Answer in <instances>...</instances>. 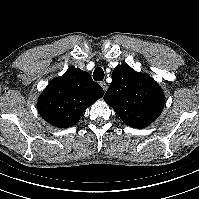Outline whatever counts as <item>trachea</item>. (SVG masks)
<instances>
[{
  "label": "trachea",
  "instance_id": "trachea-1",
  "mask_svg": "<svg viewBox=\"0 0 199 199\" xmlns=\"http://www.w3.org/2000/svg\"><path fill=\"white\" fill-rule=\"evenodd\" d=\"M93 78L95 81H103V79H104L103 69L100 67H97L93 72Z\"/></svg>",
  "mask_w": 199,
  "mask_h": 199
}]
</instances>
